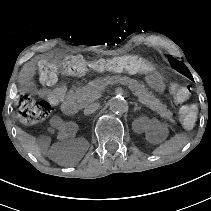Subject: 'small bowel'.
I'll list each match as a JSON object with an SVG mask.
<instances>
[{"instance_id":"1","label":"small bowel","mask_w":211,"mask_h":211,"mask_svg":"<svg viewBox=\"0 0 211 211\" xmlns=\"http://www.w3.org/2000/svg\"><path fill=\"white\" fill-rule=\"evenodd\" d=\"M57 53H46L38 56L33 61L27 63L21 73L20 77V88L23 92H34L35 86L33 83V76L36 72L37 67H39L44 62L52 59L58 58ZM67 87L65 84H61L54 89L41 90L39 95L46 98L52 105L60 104L65 98Z\"/></svg>"}]
</instances>
